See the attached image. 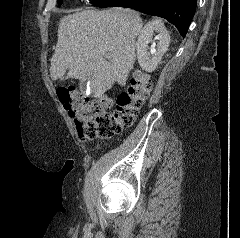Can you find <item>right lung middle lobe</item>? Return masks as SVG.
<instances>
[{
    "mask_svg": "<svg viewBox=\"0 0 240 238\" xmlns=\"http://www.w3.org/2000/svg\"><path fill=\"white\" fill-rule=\"evenodd\" d=\"M62 1H63V0H58V5H59V6L62 4ZM96 1H97V0H94L93 3L96 2Z\"/></svg>",
    "mask_w": 240,
    "mask_h": 238,
    "instance_id": "right-lung-middle-lobe-1",
    "label": "right lung middle lobe"
}]
</instances>
